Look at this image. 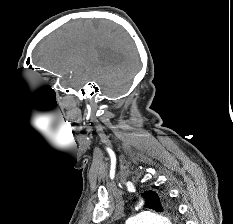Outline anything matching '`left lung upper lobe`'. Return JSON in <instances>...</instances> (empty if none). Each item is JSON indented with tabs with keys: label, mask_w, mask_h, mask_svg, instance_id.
I'll list each match as a JSON object with an SVG mask.
<instances>
[{
	"label": "left lung upper lobe",
	"mask_w": 233,
	"mask_h": 224,
	"mask_svg": "<svg viewBox=\"0 0 233 224\" xmlns=\"http://www.w3.org/2000/svg\"><path fill=\"white\" fill-rule=\"evenodd\" d=\"M142 196L145 200L144 207L155 210L156 212L167 211L170 215H173L174 207L165 196H158V194L153 191H146Z\"/></svg>",
	"instance_id": "left-lung-upper-lobe-1"
}]
</instances>
